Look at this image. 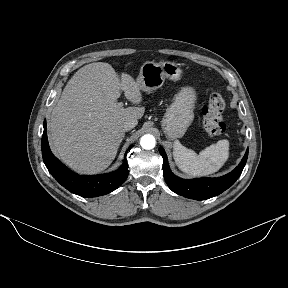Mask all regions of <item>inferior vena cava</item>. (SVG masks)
Returning <instances> with one entry per match:
<instances>
[{
    "instance_id": "inferior-vena-cava-1",
    "label": "inferior vena cava",
    "mask_w": 288,
    "mask_h": 288,
    "mask_svg": "<svg viewBox=\"0 0 288 288\" xmlns=\"http://www.w3.org/2000/svg\"><path fill=\"white\" fill-rule=\"evenodd\" d=\"M138 121L136 119H130L126 121L123 125L125 131L133 129L137 125Z\"/></svg>"
}]
</instances>
